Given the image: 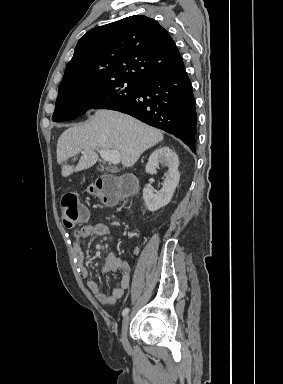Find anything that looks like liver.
<instances>
[{"instance_id": "1", "label": "liver", "mask_w": 283, "mask_h": 384, "mask_svg": "<svg viewBox=\"0 0 283 384\" xmlns=\"http://www.w3.org/2000/svg\"><path fill=\"white\" fill-rule=\"evenodd\" d=\"M163 134L156 128L146 126L139 120L112 112V110H97L89 124L80 128H68L57 142V162L62 164L61 174L64 178L73 172H81L94 166L98 154L94 148L116 150L121 156L125 168H132L141 154L162 142ZM82 150V156L77 166H67L69 158H73Z\"/></svg>"}]
</instances>
